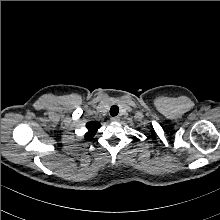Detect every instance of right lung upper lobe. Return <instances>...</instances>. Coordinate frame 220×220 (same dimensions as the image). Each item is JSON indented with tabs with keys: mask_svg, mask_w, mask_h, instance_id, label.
Masks as SVG:
<instances>
[{
	"mask_svg": "<svg viewBox=\"0 0 220 220\" xmlns=\"http://www.w3.org/2000/svg\"><path fill=\"white\" fill-rule=\"evenodd\" d=\"M100 123L97 121H93V122H88L86 124V127L88 129V132L85 135V138L87 140H90L93 138V136L95 135L96 131L100 128Z\"/></svg>",
	"mask_w": 220,
	"mask_h": 220,
	"instance_id": "1",
	"label": "right lung upper lobe"
}]
</instances>
